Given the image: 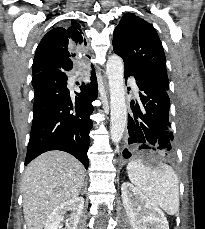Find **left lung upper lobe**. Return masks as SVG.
<instances>
[{"instance_id": "obj_1", "label": "left lung upper lobe", "mask_w": 205, "mask_h": 229, "mask_svg": "<svg viewBox=\"0 0 205 229\" xmlns=\"http://www.w3.org/2000/svg\"><path fill=\"white\" fill-rule=\"evenodd\" d=\"M113 49L126 71L168 91L163 46L151 24L135 14L124 15L113 34Z\"/></svg>"}]
</instances>
